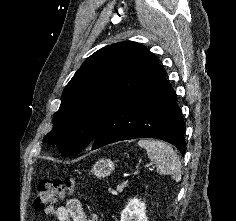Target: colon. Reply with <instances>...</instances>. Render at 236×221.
Masks as SVG:
<instances>
[{
    "instance_id": "1",
    "label": "colon",
    "mask_w": 236,
    "mask_h": 221,
    "mask_svg": "<svg viewBox=\"0 0 236 221\" xmlns=\"http://www.w3.org/2000/svg\"><path fill=\"white\" fill-rule=\"evenodd\" d=\"M75 188V180L72 177L63 179L44 180L38 185L34 206L42 211L53 205L57 198L64 197Z\"/></svg>"
}]
</instances>
